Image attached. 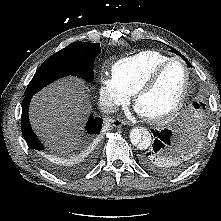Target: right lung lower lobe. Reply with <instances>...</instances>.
Instances as JSON below:
<instances>
[{"mask_svg":"<svg viewBox=\"0 0 221 221\" xmlns=\"http://www.w3.org/2000/svg\"><path fill=\"white\" fill-rule=\"evenodd\" d=\"M32 96H25L22 104V116H21V128H22V133L25 138V141L28 145V147L32 150H34L38 156L42 159L45 160L44 156V146L43 144L39 141V139L35 136L34 132L32 131V128L29 123V118H28V107L29 103L31 101ZM102 123L103 119L99 117H89V120L87 122V125L85 127L86 131L89 134L96 135L98 134L101 129H102Z\"/></svg>","mask_w":221,"mask_h":221,"instance_id":"1","label":"right lung lower lobe"}]
</instances>
